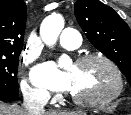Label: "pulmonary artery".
<instances>
[{
    "label": "pulmonary artery",
    "instance_id": "e3ab8cb5",
    "mask_svg": "<svg viewBox=\"0 0 131 115\" xmlns=\"http://www.w3.org/2000/svg\"><path fill=\"white\" fill-rule=\"evenodd\" d=\"M81 37L78 31L66 28L59 37V44L65 49H76L80 46Z\"/></svg>",
    "mask_w": 131,
    "mask_h": 115
}]
</instances>
